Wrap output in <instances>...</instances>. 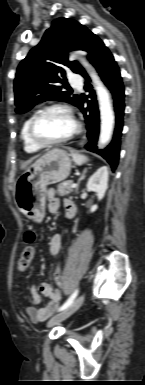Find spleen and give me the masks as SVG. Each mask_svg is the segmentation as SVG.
Instances as JSON below:
<instances>
[{"label":"spleen","instance_id":"spleen-1","mask_svg":"<svg viewBox=\"0 0 145 385\" xmlns=\"http://www.w3.org/2000/svg\"><path fill=\"white\" fill-rule=\"evenodd\" d=\"M71 155H72L73 161L79 166L88 161V158L85 155L74 153V152Z\"/></svg>","mask_w":145,"mask_h":385}]
</instances>
